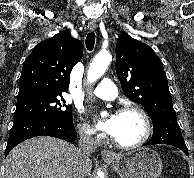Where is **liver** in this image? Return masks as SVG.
<instances>
[{"instance_id":"obj_1","label":"liver","mask_w":194,"mask_h":178,"mask_svg":"<svg viewBox=\"0 0 194 178\" xmlns=\"http://www.w3.org/2000/svg\"><path fill=\"white\" fill-rule=\"evenodd\" d=\"M79 149L58 138L40 136L15 147L7 156L3 178H72ZM92 163H85V174Z\"/></svg>"}]
</instances>
